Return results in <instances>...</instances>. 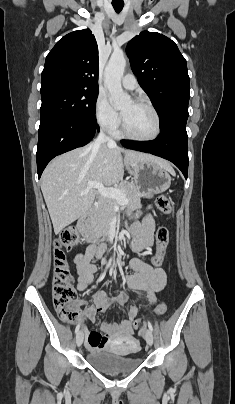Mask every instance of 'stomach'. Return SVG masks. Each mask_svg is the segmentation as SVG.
I'll use <instances>...</instances> for the list:
<instances>
[{"instance_id": "obj_1", "label": "stomach", "mask_w": 235, "mask_h": 404, "mask_svg": "<svg viewBox=\"0 0 235 404\" xmlns=\"http://www.w3.org/2000/svg\"><path fill=\"white\" fill-rule=\"evenodd\" d=\"M134 183L138 186L142 197L150 198L163 193L171 185V176L154 160H143L131 165ZM137 211L136 216H139Z\"/></svg>"}]
</instances>
